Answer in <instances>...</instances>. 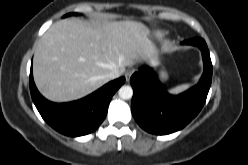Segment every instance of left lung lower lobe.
Listing matches in <instances>:
<instances>
[{
  "label": "left lung lower lobe",
  "mask_w": 248,
  "mask_h": 165,
  "mask_svg": "<svg viewBox=\"0 0 248 165\" xmlns=\"http://www.w3.org/2000/svg\"><path fill=\"white\" fill-rule=\"evenodd\" d=\"M181 44L197 46L202 52L204 72L196 86L182 94L170 95L149 67L141 68L130 79L134 91L133 117L152 134H170L185 127L202 109L211 86L212 63L204 39L193 38Z\"/></svg>",
  "instance_id": "0a47b994"
}]
</instances>
